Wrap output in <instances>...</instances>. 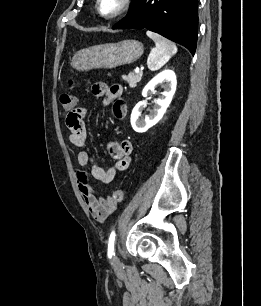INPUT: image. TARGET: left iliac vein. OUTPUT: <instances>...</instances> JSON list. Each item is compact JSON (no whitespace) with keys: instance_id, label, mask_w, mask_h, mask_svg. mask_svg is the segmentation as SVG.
Listing matches in <instances>:
<instances>
[{"instance_id":"obj_1","label":"left iliac vein","mask_w":261,"mask_h":306,"mask_svg":"<svg viewBox=\"0 0 261 306\" xmlns=\"http://www.w3.org/2000/svg\"><path fill=\"white\" fill-rule=\"evenodd\" d=\"M112 264L115 266V267H119L120 266V259L118 258L117 255H114L113 256V259H112Z\"/></svg>"}]
</instances>
